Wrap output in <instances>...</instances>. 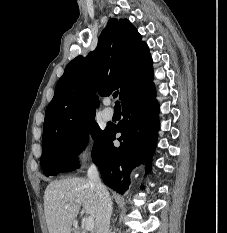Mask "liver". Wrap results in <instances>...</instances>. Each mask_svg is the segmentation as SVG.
Returning a JSON list of instances; mask_svg holds the SVG:
<instances>
[{"instance_id":"liver-1","label":"liver","mask_w":227,"mask_h":233,"mask_svg":"<svg viewBox=\"0 0 227 233\" xmlns=\"http://www.w3.org/2000/svg\"><path fill=\"white\" fill-rule=\"evenodd\" d=\"M69 204V208L65 205ZM80 206L96 218L98 199L89 179L67 178L50 182L44 193V213L49 233H70Z\"/></svg>"}]
</instances>
